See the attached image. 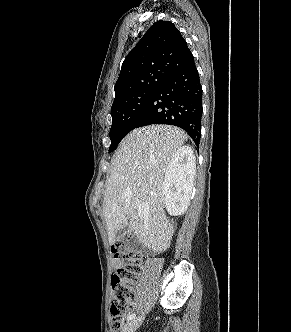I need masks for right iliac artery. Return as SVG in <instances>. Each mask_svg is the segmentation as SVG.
Listing matches in <instances>:
<instances>
[{"label": "right iliac artery", "mask_w": 291, "mask_h": 332, "mask_svg": "<svg viewBox=\"0 0 291 332\" xmlns=\"http://www.w3.org/2000/svg\"><path fill=\"white\" fill-rule=\"evenodd\" d=\"M136 314H131L127 317V321L134 319Z\"/></svg>", "instance_id": "right-iliac-artery-1"}]
</instances>
